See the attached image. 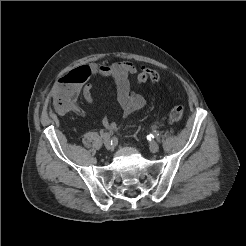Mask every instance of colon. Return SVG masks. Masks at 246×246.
<instances>
[{"mask_svg":"<svg viewBox=\"0 0 246 246\" xmlns=\"http://www.w3.org/2000/svg\"><path fill=\"white\" fill-rule=\"evenodd\" d=\"M148 81L157 83L160 81V75L156 70L147 66H142L140 72L137 75V82L139 84H144ZM183 115L184 108L181 105H175L172 107L170 111V119L173 122L180 121Z\"/></svg>","mask_w":246,"mask_h":246,"instance_id":"1","label":"colon"}]
</instances>
